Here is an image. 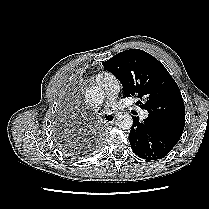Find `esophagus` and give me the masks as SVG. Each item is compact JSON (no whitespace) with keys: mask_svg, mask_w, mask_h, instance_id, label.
<instances>
[{"mask_svg":"<svg viewBox=\"0 0 209 209\" xmlns=\"http://www.w3.org/2000/svg\"><path fill=\"white\" fill-rule=\"evenodd\" d=\"M115 116H113V115H109L107 118H106V120H105V123H113L114 122V120H115Z\"/></svg>","mask_w":209,"mask_h":209,"instance_id":"obj_1","label":"esophagus"}]
</instances>
